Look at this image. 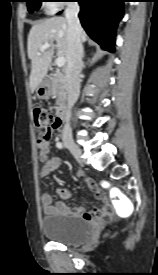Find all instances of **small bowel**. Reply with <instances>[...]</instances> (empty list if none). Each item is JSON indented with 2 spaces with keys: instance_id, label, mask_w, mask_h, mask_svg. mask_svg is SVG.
Masks as SVG:
<instances>
[{
  "instance_id": "1",
  "label": "small bowel",
  "mask_w": 158,
  "mask_h": 275,
  "mask_svg": "<svg viewBox=\"0 0 158 275\" xmlns=\"http://www.w3.org/2000/svg\"><path fill=\"white\" fill-rule=\"evenodd\" d=\"M62 124H59L58 128L55 130H59ZM39 148V158L43 162L42 167L39 170V175L41 178H46L50 175L52 171L57 169L60 166V159L58 157H49L50 155V145L49 142L41 143L37 142ZM89 188H91L95 195L103 202L102 208H95L90 212L84 211L81 207L71 208L67 206L62 201H58L53 204V200L50 194L43 193L41 196V206L42 210L45 214L58 212V213H72L77 216H81L85 219H96L98 217H102L103 211L108 208L109 202L107 200L106 195L98 189L97 185L94 182L88 183ZM58 195L61 199H67L70 197L71 193L68 189L62 188L57 190Z\"/></svg>"
}]
</instances>
